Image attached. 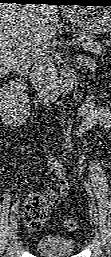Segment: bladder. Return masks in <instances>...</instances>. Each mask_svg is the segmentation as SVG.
<instances>
[{"instance_id": "obj_1", "label": "bladder", "mask_w": 111, "mask_h": 257, "mask_svg": "<svg viewBox=\"0 0 111 257\" xmlns=\"http://www.w3.org/2000/svg\"><path fill=\"white\" fill-rule=\"evenodd\" d=\"M75 249V241L67 237L42 236L35 243L36 252L45 257H65Z\"/></svg>"}]
</instances>
